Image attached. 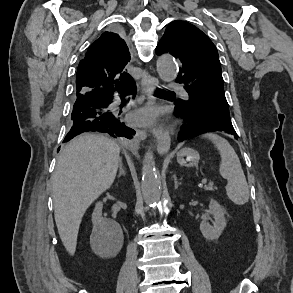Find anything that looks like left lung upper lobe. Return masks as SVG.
<instances>
[{
  "label": "left lung upper lobe",
  "instance_id": "1",
  "mask_svg": "<svg viewBox=\"0 0 293 293\" xmlns=\"http://www.w3.org/2000/svg\"><path fill=\"white\" fill-rule=\"evenodd\" d=\"M157 54L169 52L181 64L176 82L182 84L205 116L230 117L223 88L218 52L212 41L197 27L173 21L156 47Z\"/></svg>",
  "mask_w": 293,
  "mask_h": 293
}]
</instances>
